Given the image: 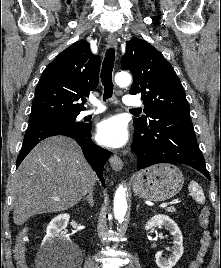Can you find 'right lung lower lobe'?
<instances>
[{"label":"right lung lower lobe","instance_id":"right-lung-lower-lobe-1","mask_svg":"<svg viewBox=\"0 0 221 268\" xmlns=\"http://www.w3.org/2000/svg\"><path fill=\"white\" fill-rule=\"evenodd\" d=\"M91 128V125L84 123L72 124L56 121H36L29 123L21 152L16 161V168L38 142L50 136L63 135L74 139L79 144L85 158L100 178L102 185H105L103 170L111 153L97 146L92 141Z\"/></svg>","mask_w":221,"mask_h":268}]
</instances>
